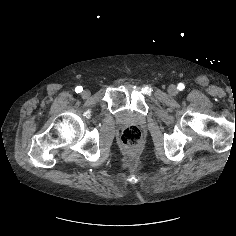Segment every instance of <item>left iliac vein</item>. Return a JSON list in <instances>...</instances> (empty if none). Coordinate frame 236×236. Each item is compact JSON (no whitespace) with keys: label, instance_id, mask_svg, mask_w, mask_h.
<instances>
[{"label":"left iliac vein","instance_id":"1","mask_svg":"<svg viewBox=\"0 0 236 236\" xmlns=\"http://www.w3.org/2000/svg\"><path fill=\"white\" fill-rule=\"evenodd\" d=\"M168 93L170 94V95H177V93H178V89H177V87L175 86V85H170L169 87H168Z\"/></svg>","mask_w":236,"mask_h":236}]
</instances>
